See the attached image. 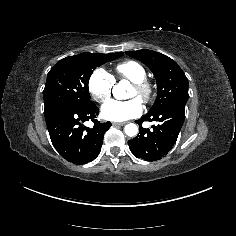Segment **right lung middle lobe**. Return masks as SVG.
<instances>
[{"label": "right lung middle lobe", "mask_w": 236, "mask_h": 236, "mask_svg": "<svg viewBox=\"0 0 236 236\" xmlns=\"http://www.w3.org/2000/svg\"><path fill=\"white\" fill-rule=\"evenodd\" d=\"M123 53H82L61 59L48 73L43 91L45 109L59 104L85 107L90 100L88 82L96 67Z\"/></svg>", "instance_id": "dd1d6c3e"}]
</instances>
